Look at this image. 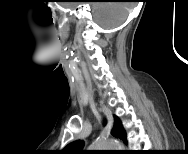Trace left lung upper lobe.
Here are the masks:
<instances>
[{
  "label": "left lung upper lobe",
  "instance_id": "obj_1",
  "mask_svg": "<svg viewBox=\"0 0 188 154\" xmlns=\"http://www.w3.org/2000/svg\"><path fill=\"white\" fill-rule=\"evenodd\" d=\"M111 134L117 138L124 139L125 137V130L117 116H114V127L111 131ZM83 141H74L68 144L64 150L69 154H84L86 151L83 150Z\"/></svg>",
  "mask_w": 188,
  "mask_h": 154
}]
</instances>
